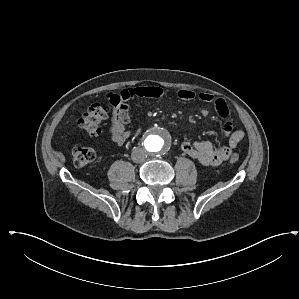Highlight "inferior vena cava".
Segmentation results:
<instances>
[{
  "mask_svg": "<svg viewBox=\"0 0 299 299\" xmlns=\"http://www.w3.org/2000/svg\"><path fill=\"white\" fill-rule=\"evenodd\" d=\"M131 157L135 163H142L146 159L145 150L142 148H135L132 151Z\"/></svg>",
  "mask_w": 299,
  "mask_h": 299,
  "instance_id": "inferior-vena-cava-1",
  "label": "inferior vena cava"
}]
</instances>
